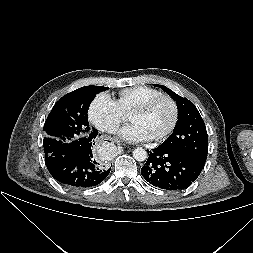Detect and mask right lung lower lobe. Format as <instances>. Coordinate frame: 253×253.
<instances>
[{"instance_id": "right-lung-lower-lobe-1", "label": "right lung lower lobe", "mask_w": 253, "mask_h": 253, "mask_svg": "<svg viewBox=\"0 0 253 253\" xmlns=\"http://www.w3.org/2000/svg\"><path fill=\"white\" fill-rule=\"evenodd\" d=\"M98 131L71 142L58 141L45 151V163L54 179L72 188L100 184L110 173L107 163L100 159L95 146Z\"/></svg>"}]
</instances>
